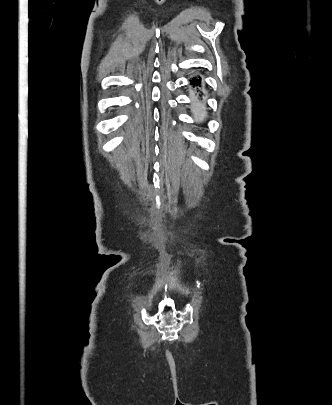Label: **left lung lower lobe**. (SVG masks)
Instances as JSON below:
<instances>
[{"mask_svg": "<svg viewBox=\"0 0 332 405\" xmlns=\"http://www.w3.org/2000/svg\"><path fill=\"white\" fill-rule=\"evenodd\" d=\"M191 84L193 85L194 89L197 91V94L199 95V97L202 96V91H201V78L199 77V79L197 78H193L191 80ZM196 118L200 121H203L206 118L205 112L203 111V106H199L198 110L196 111Z\"/></svg>", "mask_w": 332, "mask_h": 405, "instance_id": "0a47b994", "label": "left lung lower lobe"}]
</instances>
